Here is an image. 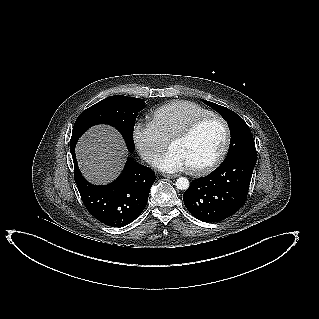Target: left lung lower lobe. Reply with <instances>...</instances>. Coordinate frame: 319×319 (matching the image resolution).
<instances>
[{"mask_svg": "<svg viewBox=\"0 0 319 319\" xmlns=\"http://www.w3.org/2000/svg\"><path fill=\"white\" fill-rule=\"evenodd\" d=\"M256 160L245 156L234 158L223 162L209 175L193 180L183 194L188 211L208 223L235 214L247 198Z\"/></svg>", "mask_w": 319, "mask_h": 319, "instance_id": "obj_1", "label": "left lung lower lobe"}]
</instances>
